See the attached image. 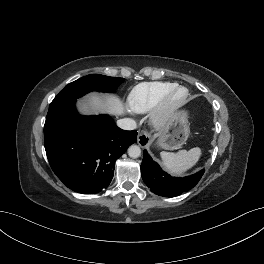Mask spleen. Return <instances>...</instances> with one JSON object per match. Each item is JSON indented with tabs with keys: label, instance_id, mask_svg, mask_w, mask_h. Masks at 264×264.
<instances>
[{
	"label": "spleen",
	"instance_id": "1",
	"mask_svg": "<svg viewBox=\"0 0 264 264\" xmlns=\"http://www.w3.org/2000/svg\"><path fill=\"white\" fill-rule=\"evenodd\" d=\"M201 155L202 150L199 147H194L189 151L181 150L177 153L163 152L161 158L163 166L170 174L181 176L196 165Z\"/></svg>",
	"mask_w": 264,
	"mask_h": 264
}]
</instances>
